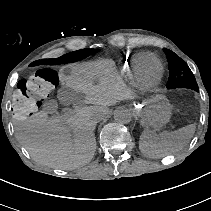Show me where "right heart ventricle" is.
<instances>
[{
    "label": "right heart ventricle",
    "instance_id": "obj_1",
    "mask_svg": "<svg viewBox=\"0 0 211 211\" xmlns=\"http://www.w3.org/2000/svg\"><path fill=\"white\" fill-rule=\"evenodd\" d=\"M146 59L147 54L144 51L129 53L123 56V58L119 59V70L122 76H124L125 80H134L136 71L138 70L139 66L145 64Z\"/></svg>",
    "mask_w": 211,
    "mask_h": 211
}]
</instances>
